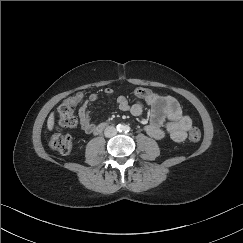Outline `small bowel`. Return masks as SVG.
Returning a JSON list of instances; mask_svg holds the SVG:
<instances>
[{
	"label": "small bowel",
	"mask_w": 243,
	"mask_h": 243,
	"mask_svg": "<svg viewBox=\"0 0 243 243\" xmlns=\"http://www.w3.org/2000/svg\"><path fill=\"white\" fill-rule=\"evenodd\" d=\"M140 90L143 93L136 91L135 94L144 102L137 101L129 104L125 97L120 96L114 102L115 107L118 110L129 112L133 116H140L147 105L150 107V118L145 126V131L150 137L159 140L169 136L175 142L185 140L192 120L189 115L183 113L177 100L169 95L153 93L142 88ZM113 93L114 91L110 87L103 90V94L106 96H111ZM99 99V94H90L78 111L80 125L85 132H92L98 127L92 116L91 108ZM165 119L168 120V123L163 126Z\"/></svg>",
	"instance_id": "obj_1"
}]
</instances>
